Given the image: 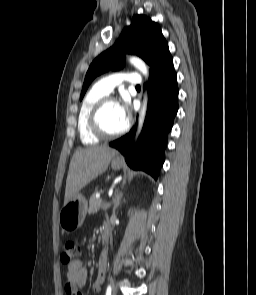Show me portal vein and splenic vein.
<instances>
[{
    "instance_id": "portal-vein-and-splenic-vein-1",
    "label": "portal vein and splenic vein",
    "mask_w": 256,
    "mask_h": 295,
    "mask_svg": "<svg viewBox=\"0 0 256 295\" xmlns=\"http://www.w3.org/2000/svg\"><path fill=\"white\" fill-rule=\"evenodd\" d=\"M106 205H107V206H106L105 208L109 207V206H110V203L107 202Z\"/></svg>"
}]
</instances>
